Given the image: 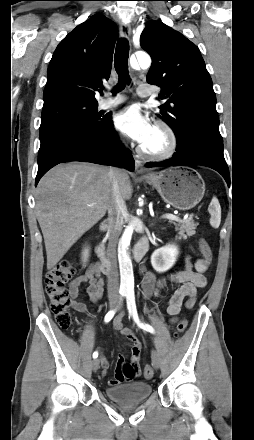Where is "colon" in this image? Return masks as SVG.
Here are the masks:
<instances>
[{"label": "colon", "mask_w": 254, "mask_h": 440, "mask_svg": "<svg viewBox=\"0 0 254 440\" xmlns=\"http://www.w3.org/2000/svg\"><path fill=\"white\" fill-rule=\"evenodd\" d=\"M198 244L204 261L210 263L213 258L211 246L203 238L199 239ZM75 272L76 269L72 262L62 261L53 266L47 272L45 278V290L50 301V308L55 316L56 323L62 329H68L72 324L69 311L71 297L65 284L74 276ZM186 328L187 321L182 319L176 325V335L179 336L183 334ZM137 374V370L133 365H123V375L127 380H132ZM144 376L146 378H151L153 376V369L150 365L145 366Z\"/></svg>", "instance_id": "1"}]
</instances>
